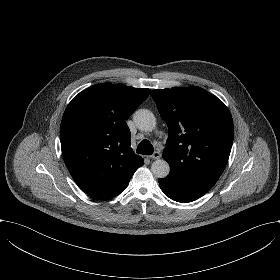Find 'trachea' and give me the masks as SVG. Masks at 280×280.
<instances>
[{
    "instance_id": "trachea-1",
    "label": "trachea",
    "mask_w": 280,
    "mask_h": 280,
    "mask_svg": "<svg viewBox=\"0 0 280 280\" xmlns=\"http://www.w3.org/2000/svg\"><path fill=\"white\" fill-rule=\"evenodd\" d=\"M154 151V148L152 146V144L144 139L143 141H141L137 147V153L139 154H143V155H151Z\"/></svg>"
}]
</instances>
